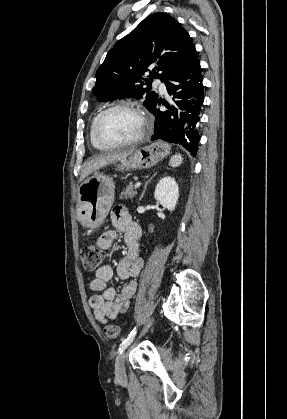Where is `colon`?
Listing matches in <instances>:
<instances>
[{"label": "colon", "mask_w": 287, "mask_h": 419, "mask_svg": "<svg viewBox=\"0 0 287 419\" xmlns=\"http://www.w3.org/2000/svg\"><path fill=\"white\" fill-rule=\"evenodd\" d=\"M81 258L83 266L87 271L98 270L104 262L105 254L96 245H86L81 250ZM104 334L108 339H118L120 336V329L115 324H109L104 328Z\"/></svg>", "instance_id": "1"}]
</instances>
